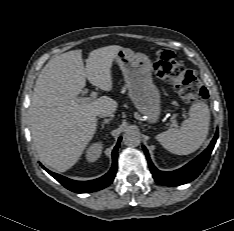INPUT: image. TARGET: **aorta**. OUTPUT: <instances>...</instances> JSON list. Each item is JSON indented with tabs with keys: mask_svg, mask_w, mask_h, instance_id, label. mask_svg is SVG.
Returning a JSON list of instances; mask_svg holds the SVG:
<instances>
[{
	"mask_svg": "<svg viewBox=\"0 0 234 231\" xmlns=\"http://www.w3.org/2000/svg\"><path fill=\"white\" fill-rule=\"evenodd\" d=\"M123 142L126 146L137 147L141 143V135L135 129H127L123 135Z\"/></svg>",
	"mask_w": 234,
	"mask_h": 231,
	"instance_id": "1",
	"label": "aorta"
}]
</instances>
